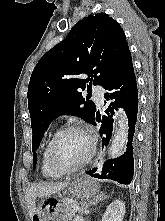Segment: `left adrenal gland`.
Segmentation results:
<instances>
[{"label":"left adrenal gland","instance_id":"a2214340","mask_svg":"<svg viewBox=\"0 0 165 221\" xmlns=\"http://www.w3.org/2000/svg\"><path fill=\"white\" fill-rule=\"evenodd\" d=\"M106 198L107 196H104V194L97 195L95 198H93V200H90L87 204L83 205L82 212L86 210L88 207L94 206L98 204L99 202H102Z\"/></svg>","mask_w":165,"mask_h":221}]
</instances>
